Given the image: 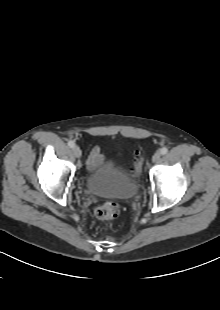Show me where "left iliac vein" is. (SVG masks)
Instances as JSON below:
<instances>
[{"label":"left iliac vein","instance_id":"1","mask_svg":"<svg viewBox=\"0 0 220 310\" xmlns=\"http://www.w3.org/2000/svg\"><path fill=\"white\" fill-rule=\"evenodd\" d=\"M161 158V152L157 151L154 153V155L152 156V162L153 163H157Z\"/></svg>","mask_w":220,"mask_h":310}]
</instances>
